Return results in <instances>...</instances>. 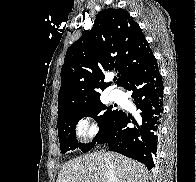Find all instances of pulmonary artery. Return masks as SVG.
Here are the masks:
<instances>
[{
  "label": "pulmonary artery",
  "instance_id": "obj_1",
  "mask_svg": "<svg viewBox=\"0 0 196 182\" xmlns=\"http://www.w3.org/2000/svg\"><path fill=\"white\" fill-rule=\"evenodd\" d=\"M121 92L119 90H112L111 96L114 100H118L120 98Z\"/></svg>",
  "mask_w": 196,
  "mask_h": 182
}]
</instances>
